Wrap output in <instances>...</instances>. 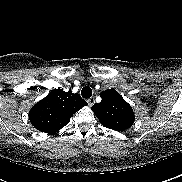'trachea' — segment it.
<instances>
[{
	"instance_id": "obj_1",
	"label": "trachea",
	"mask_w": 182,
	"mask_h": 182,
	"mask_svg": "<svg viewBox=\"0 0 182 182\" xmlns=\"http://www.w3.org/2000/svg\"><path fill=\"white\" fill-rule=\"evenodd\" d=\"M81 95L83 98H90L92 96V89L88 86H85L81 90Z\"/></svg>"
}]
</instances>
